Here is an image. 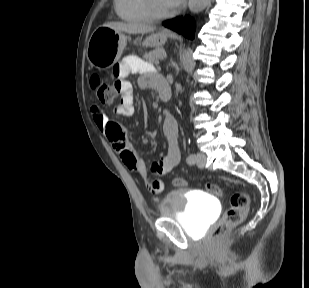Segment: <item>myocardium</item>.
I'll return each instance as SVG.
<instances>
[{"label":"myocardium","instance_id":"f54148a6","mask_svg":"<svg viewBox=\"0 0 309 288\" xmlns=\"http://www.w3.org/2000/svg\"><path fill=\"white\" fill-rule=\"evenodd\" d=\"M146 8L153 19H163L171 16L174 12L172 10H162L158 6L157 0H144Z\"/></svg>","mask_w":309,"mask_h":288}]
</instances>
